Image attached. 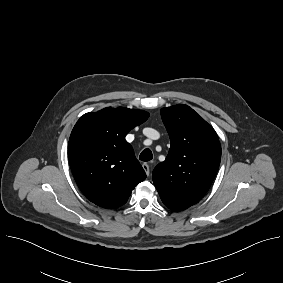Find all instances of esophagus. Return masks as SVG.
<instances>
[{
  "instance_id": "esophagus-1",
  "label": "esophagus",
  "mask_w": 283,
  "mask_h": 283,
  "mask_svg": "<svg viewBox=\"0 0 283 283\" xmlns=\"http://www.w3.org/2000/svg\"><path fill=\"white\" fill-rule=\"evenodd\" d=\"M142 167H143V169L145 170L147 176H149V174H150V167H149V165H148L147 163H144V164L142 165Z\"/></svg>"
}]
</instances>
